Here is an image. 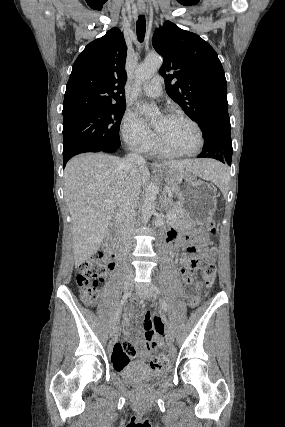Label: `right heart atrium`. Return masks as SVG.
<instances>
[{"label":"right heart atrium","mask_w":285,"mask_h":427,"mask_svg":"<svg viewBox=\"0 0 285 427\" xmlns=\"http://www.w3.org/2000/svg\"><path fill=\"white\" fill-rule=\"evenodd\" d=\"M121 134L125 143L139 152H146L156 140L151 128L131 110L124 114Z\"/></svg>","instance_id":"right-heart-atrium-1"}]
</instances>
